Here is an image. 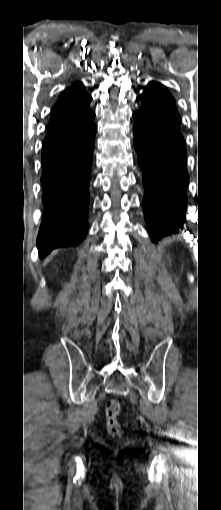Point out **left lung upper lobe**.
I'll use <instances>...</instances> for the list:
<instances>
[{"instance_id": "obj_1", "label": "left lung upper lobe", "mask_w": 221, "mask_h": 510, "mask_svg": "<svg viewBox=\"0 0 221 510\" xmlns=\"http://www.w3.org/2000/svg\"><path fill=\"white\" fill-rule=\"evenodd\" d=\"M141 102L138 111L170 134L183 138L179 131L181 118L171 94L158 82H150L148 88L137 98Z\"/></svg>"}]
</instances>
